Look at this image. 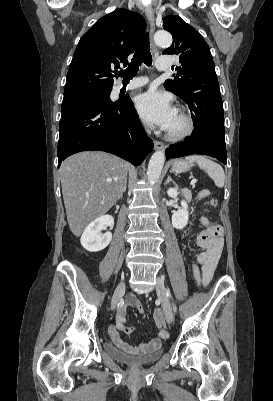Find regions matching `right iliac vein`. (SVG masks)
Returning a JSON list of instances; mask_svg holds the SVG:
<instances>
[{
  "label": "right iliac vein",
  "mask_w": 273,
  "mask_h": 401,
  "mask_svg": "<svg viewBox=\"0 0 273 401\" xmlns=\"http://www.w3.org/2000/svg\"><path fill=\"white\" fill-rule=\"evenodd\" d=\"M125 292V282L121 281L117 288L114 291L112 301H111V309L114 310L115 306L117 305L119 298Z\"/></svg>",
  "instance_id": "right-iliac-vein-1"
}]
</instances>
